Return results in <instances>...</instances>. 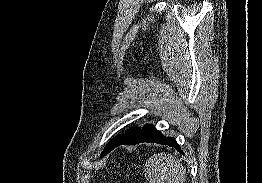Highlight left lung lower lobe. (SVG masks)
Wrapping results in <instances>:
<instances>
[{
	"instance_id": "0a47b994",
	"label": "left lung lower lobe",
	"mask_w": 262,
	"mask_h": 183,
	"mask_svg": "<svg viewBox=\"0 0 262 183\" xmlns=\"http://www.w3.org/2000/svg\"><path fill=\"white\" fill-rule=\"evenodd\" d=\"M141 142H152V143H158V144H165V145L174 147L178 151L182 152L180 146L177 144L174 138L165 137L159 131H157L153 125H147L139 129L132 136L121 138L113 142V144L109 147L105 155H107L111 150H113L115 147L119 145H122V144L134 145V144H139Z\"/></svg>"
}]
</instances>
